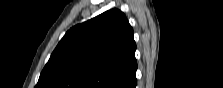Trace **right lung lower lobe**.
Listing matches in <instances>:
<instances>
[{
	"mask_svg": "<svg viewBox=\"0 0 223 88\" xmlns=\"http://www.w3.org/2000/svg\"><path fill=\"white\" fill-rule=\"evenodd\" d=\"M136 84H137V80H136V74H135V78H134V81L131 84V88H135Z\"/></svg>",
	"mask_w": 223,
	"mask_h": 88,
	"instance_id": "obj_1",
	"label": "right lung lower lobe"
}]
</instances>
